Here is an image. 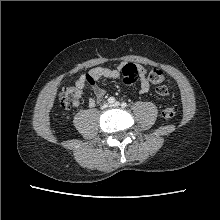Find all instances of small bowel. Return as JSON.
Returning <instances> with one entry per match:
<instances>
[{"mask_svg": "<svg viewBox=\"0 0 220 220\" xmlns=\"http://www.w3.org/2000/svg\"><path fill=\"white\" fill-rule=\"evenodd\" d=\"M120 74V67L112 68V67H95L91 69L88 73L82 76L77 82L76 85L80 89L83 88L86 84H88L94 93L93 97L88 99V106L95 107L105 96V90L98 84L99 80L103 78L115 79ZM150 90L149 81L142 77L139 86V92L144 94Z\"/></svg>", "mask_w": 220, "mask_h": 220, "instance_id": "1", "label": "small bowel"}]
</instances>
